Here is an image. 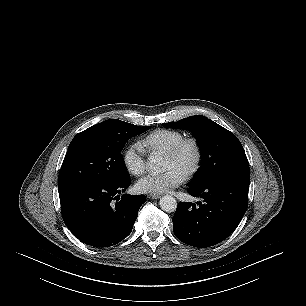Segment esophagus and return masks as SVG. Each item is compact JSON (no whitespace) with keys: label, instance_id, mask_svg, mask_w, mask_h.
<instances>
[{"label":"esophagus","instance_id":"1","mask_svg":"<svg viewBox=\"0 0 306 306\" xmlns=\"http://www.w3.org/2000/svg\"><path fill=\"white\" fill-rule=\"evenodd\" d=\"M147 197L152 200L159 199L161 196L159 194H148Z\"/></svg>","mask_w":306,"mask_h":306}]
</instances>
